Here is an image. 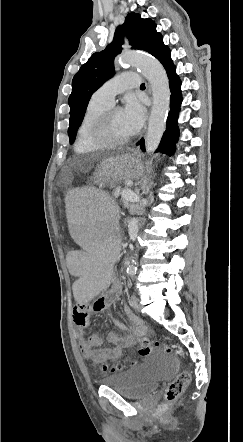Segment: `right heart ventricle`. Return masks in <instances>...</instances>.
<instances>
[{
	"label": "right heart ventricle",
	"instance_id": "obj_1",
	"mask_svg": "<svg viewBox=\"0 0 243 442\" xmlns=\"http://www.w3.org/2000/svg\"><path fill=\"white\" fill-rule=\"evenodd\" d=\"M111 105L102 103L96 100L93 96L89 100L83 116L81 118L76 140L74 143V150L78 154H87L98 151L102 147L96 145L90 137V127L93 121Z\"/></svg>",
	"mask_w": 243,
	"mask_h": 442
}]
</instances>
